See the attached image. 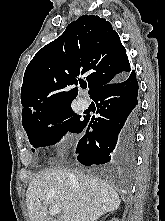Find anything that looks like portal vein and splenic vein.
Segmentation results:
<instances>
[{"label":"portal vein and splenic vein","mask_w":165,"mask_h":221,"mask_svg":"<svg viewBox=\"0 0 165 221\" xmlns=\"http://www.w3.org/2000/svg\"><path fill=\"white\" fill-rule=\"evenodd\" d=\"M50 214L53 216L57 214H61V210L59 207L52 205L50 207ZM61 218H63L65 221H69V217L66 214L61 215Z\"/></svg>","instance_id":"18ae733b"}]
</instances>
